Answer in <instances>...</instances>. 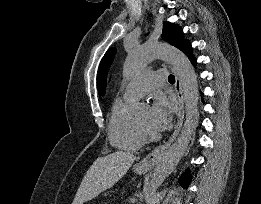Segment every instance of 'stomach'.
<instances>
[{
    "label": "stomach",
    "mask_w": 261,
    "mask_h": 204,
    "mask_svg": "<svg viewBox=\"0 0 261 204\" xmlns=\"http://www.w3.org/2000/svg\"><path fill=\"white\" fill-rule=\"evenodd\" d=\"M148 170H149V168L143 167V166H141L140 164H136V165L134 166V171L137 172V173H139V174L145 173V172H147Z\"/></svg>",
    "instance_id": "obj_1"
}]
</instances>
